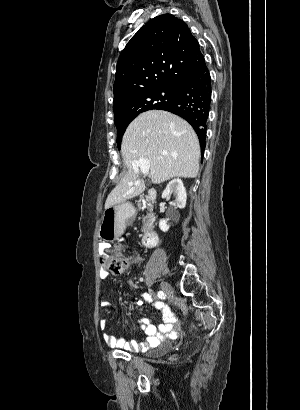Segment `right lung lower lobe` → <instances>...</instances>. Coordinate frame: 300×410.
Returning a JSON list of instances; mask_svg holds the SVG:
<instances>
[{
    "instance_id": "98d812e1",
    "label": "right lung lower lobe",
    "mask_w": 300,
    "mask_h": 410,
    "mask_svg": "<svg viewBox=\"0 0 300 410\" xmlns=\"http://www.w3.org/2000/svg\"><path fill=\"white\" fill-rule=\"evenodd\" d=\"M210 102L211 78L203 59L181 80L173 100L159 108L179 115L191 124L199 138L202 153L205 149Z\"/></svg>"
}]
</instances>
